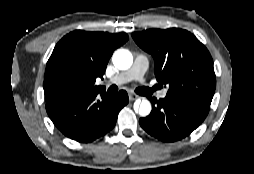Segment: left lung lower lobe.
<instances>
[{
	"instance_id": "left-lung-lower-lobe-1",
	"label": "left lung lower lobe",
	"mask_w": 254,
	"mask_h": 174,
	"mask_svg": "<svg viewBox=\"0 0 254 174\" xmlns=\"http://www.w3.org/2000/svg\"><path fill=\"white\" fill-rule=\"evenodd\" d=\"M152 102V111L141 118V127L150 135L164 142L181 140L191 134L206 118L210 106L193 99L165 97Z\"/></svg>"
}]
</instances>
